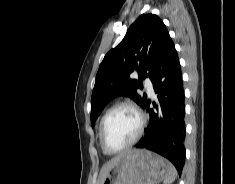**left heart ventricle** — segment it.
I'll list each match as a JSON object with an SVG mask.
<instances>
[{"instance_id":"b2bd125f","label":"left heart ventricle","mask_w":235,"mask_h":184,"mask_svg":"<svg viewBox=\"0 0 235 184\" xmlns=\"http://www.w3.org/2000/svg\"><path fill=\"white\" fill-rule=\"evenodd\" d=\"M139 120L136 113L129 108L114 111L109 119L105 133V142L112 149L120 148L130 142L136 135Z\"/></svg>"}]
</instances>
